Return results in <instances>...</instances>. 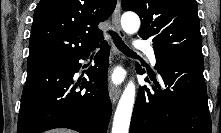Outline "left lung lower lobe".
Wrapping results in <instances>:
<instances>
[{
  "label": "left lung lower lobe",
  "mask_w": 221,
  "mask_h": 133,
  "mask_svg": "<svg viewBox=\"0 0 221 133\" xmlns=\"http://www.w3.org/2000/svg\"><path fill=\"white\" fill-rule=\"evenodd\" d=\"M154 51L166 89L156 79L157 88L139 89L130 133H212L203 60ZM138 72L144 70L138 66Z\"/></svg>",
  "instance_id": "1"
}]
</instances>
